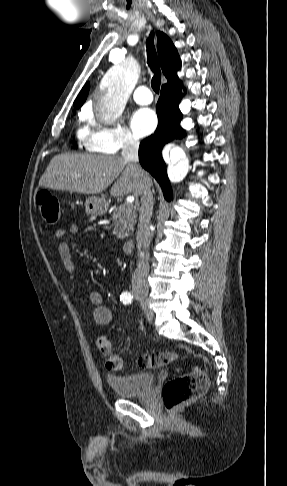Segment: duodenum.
<instances>
[{
	"instance_id": "obj_1",
	"label": "duodenum",
	"mask_w": 287,
	"mask_h": 486,
	"mask_svg": "<svg viewBox=\"0 0 287 486\" xmlns=\"http://www.w3.org/2000/svg\"><path fill=\"white\" fill-rule=\"evenodd\" d=\"M134 249V241L133 239H127L124 243H123V246H122V251L125 253V254H130Z\"/></svg>"
}]
</instances>
